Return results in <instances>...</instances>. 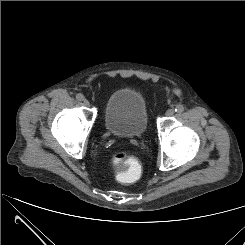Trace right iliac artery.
Returning <instances> with one entry per match:
<instances>
[{
	"label": "right iliac artery",
	"mask_w": 245,
	"mask_h": 245,
	"mask_svg": "<svg viewBox=\"0 0 245 245\" xmlns=\"http://www.w3.org/2000/svg\"><path fill=\"white\" fill-rule=\"evenodd\" d=\"M76 98H77V100H79V101H83V100H84V96H83V94H81V93H78V94L76 95Z\"/></svg>",
	"instance_id": "82829eb1"
}]
</instances>
